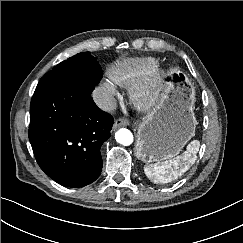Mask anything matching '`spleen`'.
Listing matches in <instances>:
<instances>
[{
  "label": "spleen",
  "mask_w": 243,
  "mask_h": 243,
  "mask_svg": "<svg viewBox=\"0 0 243 243\" xmlns=\"http://www.w3.org/2000/svg\"><path fill=\"white\" fill-rule=\"evenodd\" d=\"M200 142L193 140L181 155L162 163L148 164L144 167L146 176L155 183H168L183 175L196 160Z\"/></svg>",
  "instance_id": "obj_1"
}]
</instances>
